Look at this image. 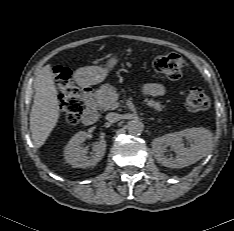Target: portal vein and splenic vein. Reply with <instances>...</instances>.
I'll use <instances>...</instances> for the list:
<instances>
[{
  "mask_svg": "<svg viewBox=\"0 0 234 231\" xmlns=\"http://www.w3.org/2000/svg\"><path fill=\"white\" fill-rule=\"evenodd\" d=\"M114 99H115V100H117V99H118V96H117V94L114 96Z\"/></svg>",
  "mask_w": 234,
  "mask_h": 231,
  "instance_id": "obj_1",
  "label": "portal vein and splenic vein"
}]
</instances>
